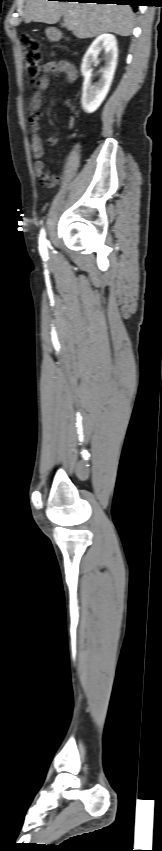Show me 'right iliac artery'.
<instances>
[{
	"instance_id": "1",
	"label": "right iliac artery",
	"mask_w": 162,
	"mask_h": 851,
	"mask_svg": "<svg viewBox=\"0 0 162 851\" xmlns=\"http://www.w3.org/2000/svg\"><path fill=\"white\" fill-rule=\"evenodd\" d=\"M39 251L43 258L47 257L46 234L44 229L41 230L39 238Z\"/></svg>"
}]
</instances>
